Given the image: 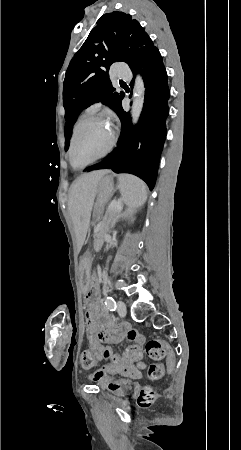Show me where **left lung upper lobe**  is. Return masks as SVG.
<instances>
[{"mask_svg": "<svg viewBox=\"0 0 241 450\" xmlns=\"http://www.w3.org/2000/svg\"><path fill=\"white\" fill-rule=\"evenodd\" d=\"M154 46L139 22L123 12L102 15L82 47L76 52L65 74L66 150L72 127L83 109L102 102L116 113L124 93H117L108 76L110 65L125 62L129 66Z\"/></svg>", "mask_w": 241, "mask_h": 450, "instance_id": "1", "label": "left lung upper lobe"}]
</instances>
